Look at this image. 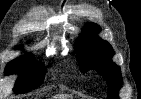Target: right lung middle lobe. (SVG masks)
Here are the masks:
<instances>
[{
  "label": "right lung middle lobe",
  "mask_w": 141,
  "mask_h": 99,
  "mask_svg": "<svg viewBox=\"0 0 141 99\" xmlns=\"http://www.w3.org/2000/svg\"><path fill=\"white\" fill-rule=\"evenodd\" d=\"M32 59L33 58L28 55L27 57L15 59L6 66V74L24 71L16 81L13 89L15 94L29 92L31 89L37 88L43 83L46 70L41 63L31 61Z\"/></svg>",
  "instance_id": "1"
}]
</instances>
